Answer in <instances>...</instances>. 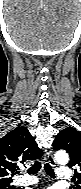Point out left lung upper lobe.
<instances>
[{
	"label": "left lung upper lobe",
	"instance_id": "5c2ea615",
	"mask_svg": "<svg viewBox=\"0 0 81 189\" xmlns=\"http://www.w3.org/2000/svg\"><path fill=\"white\" fill-rule=\"evenodd\" d=\"M53 149H64L70 155V168L75 167V176L73 189H81V132L73 127H67L56 136L53 143Z\"/></svg>",
	"mask_w": 81,
	"mask_h": 189
}]
</instances>
